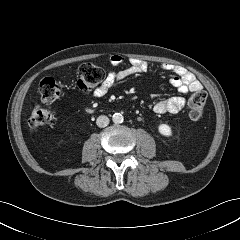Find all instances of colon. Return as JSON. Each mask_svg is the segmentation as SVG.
<instances>
[{
	"label": "colon",
	"mask_w": 240,
	"mask_h": 240,
	"mask_svg": "<svg viewBox=\"0 0 240 240\" xmlns=\"http://www.w3.org/2000/svg\"><path fill=\"white\" fill-rule=\"evenodd\" d=\"M77 85L82 91L95 89L104 79L101 67L84 63L79 66L77 73ZM41 100L48 103L58 99L62 95V85L51 77L43 78L39 85ZM207 94L204 90L195 91L189 99V117L193 122H199L204 115ZM54 120L52 112L42 106H36L30 115L29 125L32 129L39 130L52 125Z\"/></svg>",
	"instance_id": "obj_1"
}]
</instances>
